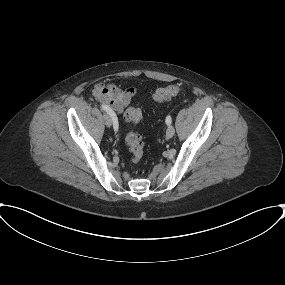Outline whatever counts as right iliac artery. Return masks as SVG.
<instances>
[{"label":"right iliac artery","instance_id":"1","mask_svg":"<svg viewBox=\"0 0 285 285\" xmlns=\"http://www.w3.org/2000/svg\"><path fill=\"white\" fill-rule=\"evenodd\" d=\"M101 108L103 110H105L112 117L114 130L117 131L118 130V121H117V118H116L114 112L109 107H107L105 105H101Z\"/></svg>","mask_w":285,"mask_h":285}]
</instances>
